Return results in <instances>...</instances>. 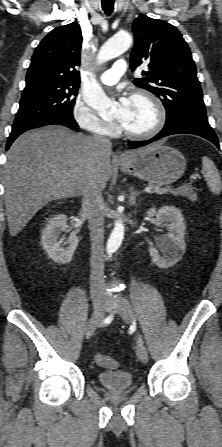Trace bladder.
<instances>
[{"mask_svg":"<svg viewBox=\"0 0 222 447\" xmlns=\"http://www.w3.org/2000/svg\"><path fill=\"white\" fill-rule=\"evenodd\" d=\"M97 380L108 391H123L133 384V376L126 370L106 371L97 374Z\"/></svg>","mask_w":222,"mask_h":447,"instance_id":"1","label":"bladder"}]
</instances>
